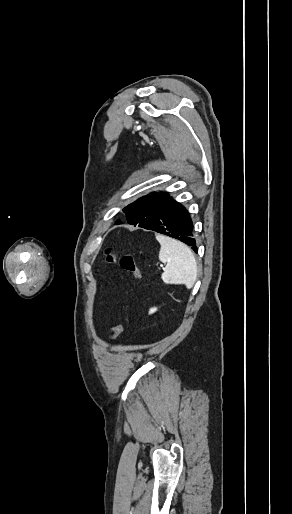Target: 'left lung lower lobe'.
I'll return each mask as SVG.
<instances>
[{
    "instance_id": "1",
    "label": "left lung lower lobe",
    "mask_w": 292,
    "mask_h": 514,
    "mask_svg": "<svg viewBox=\"0 0 292 514\" xmlns=\"http://www.w3.org/2000/svg\"><path fill=\"white\" fill-rule=\"evenodd\" d=\"M145 229L176 238L198 252L191 217L185 207L173 198L167 201L159 216Z\"/></svg>"
}]
</instances>
